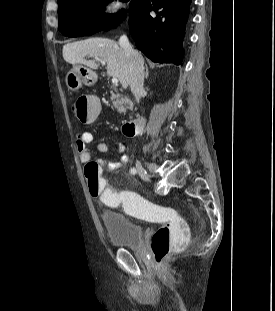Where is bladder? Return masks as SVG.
I'll use <instances>...</instances> for the list:
<instances>
[{
	"label": "bladder",
	"instance_id": "bladder-1",
	"mask_svg": "<svg viewBox=\"0 0 275 311\" xmlns=\"http://www.w3.org/2000/svg\"><path fill=\"white\" fill-rule=\"evenodd\" d=\"M100 219L112 246L130 249L141 247L143 230L125 214L108 209L100 213Z\"/></svg>",
	"mask_w": 275,
	"mask_h": 311
}]
</instances>
